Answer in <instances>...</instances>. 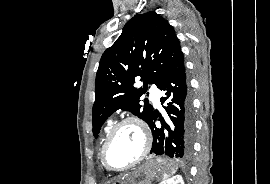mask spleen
Listing matches in <instances>:
<instances>
[{
    "instance_id": "spleen-1",
    "label": "spleen",
    "mask_w": 270,
    "mask_h": 184,
    "mask_svg": "<svg viewBox=\"0 0 270 184\" xmlns=\"http://www.w3.org/2000/svg\"><path fill=\"white\" fill-rule=\"evenodd\" d=\"M174 173H175V172H174ZM174 173H173V174H174ZM173 174H171V175H173ZM171 175H170V176H171ZM170 176H164V177H163V180L167 179V178L170 177Z\"/></svg>"
}]
</instances>
